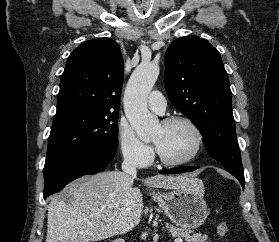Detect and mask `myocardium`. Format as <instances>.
<instances>
[{
  "instance_id": "obj_1",
  "label": "myocardium",
  "mask_w": 279,
  "mask_h": 242,
  "mask_svg": "<svg viewBox=\"0 0 279 242\" xmlns=\"http://www.w3.org/2000/svg\"><path fill=\"white\" fill-rule=\"evenodd\" d=\"M174 123H184L187 126H189L190 129L194 133L195 143H194V147H193L192 151L186 157L177 159V160H171V159L165 158L163 155L160 154V152L156 148V154H157L158 160L162 164H164L166 166H171V167L182 166V165L188 164L191 161H193L197 157L199 152L201 151L203 143H204V135H203L201 128L190 117L183 116V115H173V116H169V117L163 119L160 122V124L164 125V126L171 125Z\"/></svg>"
}]
</instances>
